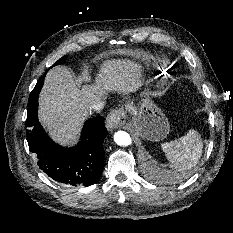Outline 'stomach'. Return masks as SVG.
Instances as JSON below:
<instances>
[{
	"mask_svg": "<svg viewBox=\"0 0 233 233\" xmlns=\"http://www.w3.org/2000/svg\"><path fill=\"white\" fill-rule=\"evenodd\" d=\"M133 120L137 135L149 141H160L170 131L168 119L161 109L148 97L143 98L133 109Z\"/></svg>",
	"mask_w": 233,
	"mask_h": 233,
	"instance_id": "obj_1",
	"label": "stomach"
}]
</instances>
